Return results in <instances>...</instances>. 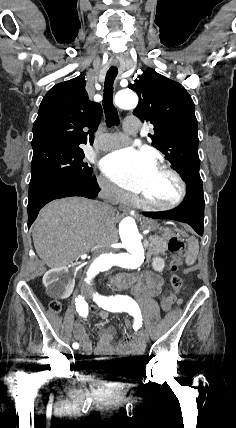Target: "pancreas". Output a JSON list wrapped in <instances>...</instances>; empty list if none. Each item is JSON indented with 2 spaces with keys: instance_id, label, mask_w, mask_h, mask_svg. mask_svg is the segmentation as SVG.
<instances>
[{
  "instance_id": "obj_1",
  "label": "pancreas",
  "mask_w": 236,
  "mask_h": 428,
  "mask_svg": "<svg viewBox=\"0 0 236 428\" xmlns=\"http://www.w3.org/2000/svg\"><path fill=\"white\" fill-rule=\"evenodd\" d=\"M167 250V242L164 238H156V236H152V240H150L147 256L151 258V256H158V254H165Z\"/></svg>"
}]
</instances>
